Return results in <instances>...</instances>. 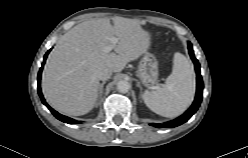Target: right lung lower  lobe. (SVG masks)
<instances>
[{
    "instance_id": "obj_1",
    "label": "right lung lower lobe",
    "mask_w": 248,
    "mask_h": 158,
    "mask_svg": "<svg viewBox=\"0 0 248 158\" xmlns=\"http://www.w3.org/2000/svg\"><path fill=\"white\" fill-rule=\"evenodd\" d=\"M50 52V50L45 54L44 56V62L46 61V57L48 55V53ZM42 69H43V65L42 67L40 68L39 70V73H38V77H37V80H38V93H39V96L41 98V101L42 103L53 113V115L59 119L60 121H63L65 123H69V124H73V123H80V121H76L72 118H69V117H66L64 115H61L59 114L58 112H56L55 110H53L45 101L43 95H42V92H41V89H40V79H41V74H42Z\"/></svg>"
}]
</instances>
